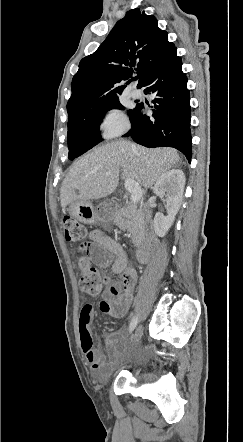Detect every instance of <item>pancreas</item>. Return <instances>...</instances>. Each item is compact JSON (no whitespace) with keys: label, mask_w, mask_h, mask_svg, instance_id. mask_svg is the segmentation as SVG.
Here are the masks:
<instances>
[{"label":"pancreas","mask_w":243,"mask_h":442,"mask_svg":"<svg viewBox=\"0 0 243 442\" xmlns=\"http://www.w3.org/2000/svg\"><path fill=\"white\" fill-rule=\"evenodd\" d=\"M113 220L119 228L127 229L132 234L133 243L138 245L143 231V223L136 208L127 206L117 210Z\"/></svg>","instance_id":"cf45deb5"}]
</instances>
